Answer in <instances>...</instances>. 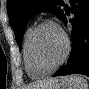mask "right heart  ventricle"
Returning <instances> with one entry per match:
<instances>
[{"instance_id": "e07e8e85", "label": "right heart ventricle", "mask_w": 89, "mask_h": 89, "mask_svg": "<svg viewBox=\"0 0 89 89\" xmlns=\"http://www.w3.org/2000/svg\"><path fill=\"white\" fill-rule=\"evenodd\" d=\"M34 26L28 27L25 37H24V44H23V58H24V64H25V70L26 73L31 77V78H40L43 77L46 74L41 73L38 71L32 64L31 58H30V52H29V42H30V37L32 35V32L34 30Z\"/></svg>"}]
</instances>
